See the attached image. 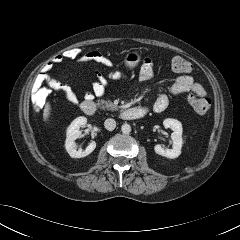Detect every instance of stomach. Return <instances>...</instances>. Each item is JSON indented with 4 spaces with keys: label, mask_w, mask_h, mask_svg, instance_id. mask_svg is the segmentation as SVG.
<instances>
[{
    "label": "stomach",
    "mask_w": 240,
    "mask_h": 240,
    "mask_svg": "<svg viewBox=\"0 0 240 240\" xmlns=\"http://www.w3.org/2000/svg\"><path fill=\"white\" fill-rule=\"evenodd\" d=\"M141 60V55L137 51H129L124 57L125 66L134 68Z\"/></svg>",
    "instance_id": "0dacf381"
}]
</instances>
